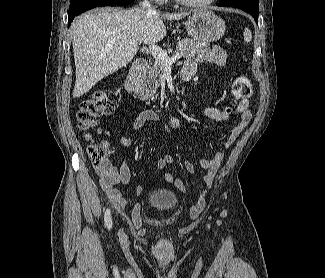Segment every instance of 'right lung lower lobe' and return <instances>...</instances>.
Returning <instances> with one entry per match:
<instances>
[{
  "label": "right lung lower lobe",
  "mask_w": 325,
  "mask_h": 278,
  "mask_svg": "<svg viewBox=\"0 0 325 278\" xmlns=\"http://www.w3.org/2000/svg\"><path fill=\"white\" fill-rule=\"evenodd\" d=\"M134 0H71L68 14V27L74 17L97 6L104 5H126Z\"/></svg>",
  "instance_id": "1"
}]
</instances>
